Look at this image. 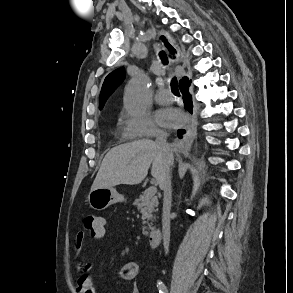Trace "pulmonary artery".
<instances>
[{"label": "pulmonary artery", "mask_w": 293, "mask_h": 293, "mask_svg": "<svg viewBox=\"0 0 293 293\" xmlns=\"http://www.w3.org/2000/svg\"><path fill=\"white\" fill-rule=\"evenodd\" d=\"M155 100L159 104H170L174 100V96L169 89H161L155 96Z\"/></svg>", "instance_id": "1"}]
</instances>
